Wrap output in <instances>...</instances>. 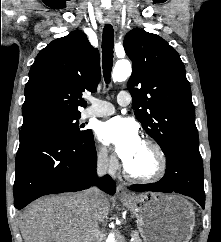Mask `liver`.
Listing matches in <instances>:
<instances>
[{"mask_svg": "<svg viewBox=\"0 0 221 242\" xmlns=\"http://www.w3.org/2000/svg\"><path fill=\"white\" fill-rule=\"evenodd\" d=\"M83 193L39 199L21 213L19 228L24 242H86L91 219L82 204ZM98 221L109 213V200L101 195Z\"/></svg>", "mask_w": 221, "mask_h": 242, "instance_id": "6515ba94", "label": "liver"}]
</instances>
